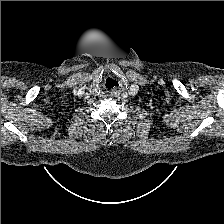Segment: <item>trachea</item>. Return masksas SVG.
Here are the masks:
<instances>
[{
    "label": "trachea",
    "mask_w": 224,
    "mask_h": 224,
    "mask_svg": "<svg viewBox=\"0 0 224 224\" xmlns=\"http://www.w3.org/2000/svg\"><path fill=\"white\" fill-rule=\"evenodd\" d=\"M117 86H119L118 81H116L115 79L108 77L105 81V88H107V90H112L113 88H116Z\"/></svg>",
    "instance_id": "3493384b"
}]
</instances>
